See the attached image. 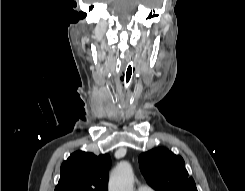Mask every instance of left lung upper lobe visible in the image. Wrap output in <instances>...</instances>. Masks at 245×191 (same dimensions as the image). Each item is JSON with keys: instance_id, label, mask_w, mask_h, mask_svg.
<instances>
[{"instance_id": "left-lung-upper-lobe-1", "label": "left lung upper lobe", "mask_w": 245, "mask_h": 191, "mask_svg": "<svg viewBox=\"0 0 245 191\" xmlns=\"http://www.w3.org/2000/svg\"><path fill=\"white\" fill-rule=\"evenodd\" d=\"M140 169L149 185L158 191H197L184 160L165 148H156L139 156Z\"/></svg>"}]
</instances>
